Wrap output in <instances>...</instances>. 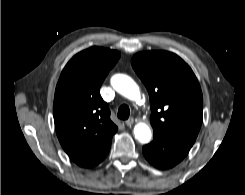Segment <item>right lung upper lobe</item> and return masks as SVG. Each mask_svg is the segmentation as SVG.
I'll return each instance as SVG.
<instances>
[{"mask_svg": "<svg viewBox=\"0 0 245 195\" xmlns=\"http://www.w3.org/2000/svg\"><path fill=\"white\" fill-rule=\"evenodd\" d=\"M120 57L115 50L91 47L64 67L55 90L53 116L58 139L79 166L98 165L118 130L110 120L100 87Z\"/></svg>", "mask_w": 245, "mask_h": 195, "instance_id": "obj_1", "label": "right lung upper lobe"}]
</instances>
